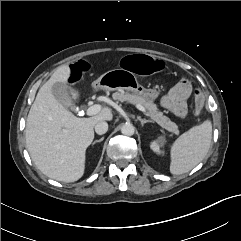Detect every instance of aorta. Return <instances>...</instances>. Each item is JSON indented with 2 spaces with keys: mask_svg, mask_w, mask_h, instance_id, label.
Segmentation results:
<instances>
[{
  "mask_svg": "<svg viewBox=\"0 0 241 241\" xmlns=\"http://www.w3.org/2000/svg\"><path fill=\"white\" fill-rule=\"evenodd\" d=\"M135 132V128L131 123H125L121 127V133L126 136H132Z\"/></svg>",
  "mask_w": 241,
  "mask_h": 241,
  "instance_id": "aorta-1",
  "label": "aorta"
}]
</instances>
